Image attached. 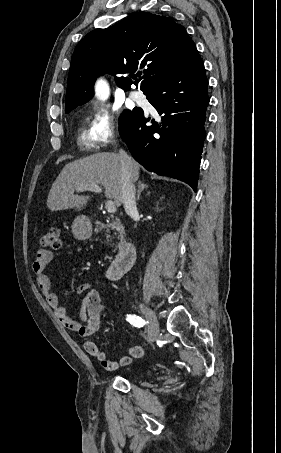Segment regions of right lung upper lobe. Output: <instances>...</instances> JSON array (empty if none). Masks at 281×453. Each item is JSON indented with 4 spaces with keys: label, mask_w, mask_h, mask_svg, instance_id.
Returning <instances> with one entry per match:
<instances>
[{
    "label": "right lung upper lobe",
    "mask_w": 281,
    "mask_h": 453,
    "mask_svg": "<svg viewBox=\"0 0 281 453\" xmlns=\"http://www.w3.org/2000/svg\"><path fill=\"white\" fill-rule=\"evenodd\" d=\"M185 28L172 17L139 12L106 29L88 33L76 46L68 75L66 111L93 97V84L104 73H142L134 82L144 92L197 54ZM137 73V74H138ZM134 79V78H133ZM125 91L129 77H115Z\"/></svg>",
    "instance_id": "right-lung-upper-lobe-1"
}]
</instances>
